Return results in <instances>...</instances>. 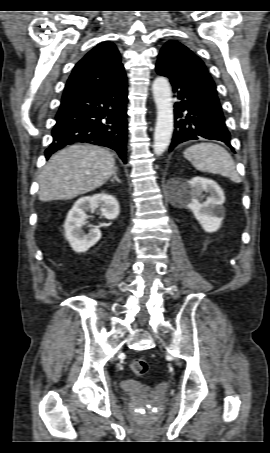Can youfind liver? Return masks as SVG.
Returning a JSON list of instances; mask_svg holds the SVG:
<instances>
[{"instance_id":"1","label":"liver","mask_w":270,"mask_h":453,"mask_svg":"<svg viewBox=\"0 0 270 453\" xmlns=\"http://www.w3.org/2000/svg\"><path fill=\"white\" fill-rule=\"evenodd\" d=\"M112 154L101 147L76 144L57 152L39 176V200H69L102 186L115 171Z\"/></svg>"}]
</instances>
